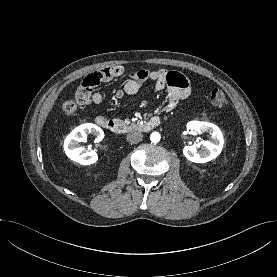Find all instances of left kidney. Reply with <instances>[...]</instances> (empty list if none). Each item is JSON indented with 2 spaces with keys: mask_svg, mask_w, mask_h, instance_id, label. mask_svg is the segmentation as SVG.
I'll list each match as a JSON object with an SVG mask.
<instances>
[{
  "mask_svg": "<svg viewBox=\"0 0 277 277\" xmlns=\"http://www.w3.org/2000/svg\"><path fill=\"white\" fill-rule=\"evenodd\" d=\"M187 128L196 133L209 134V140L199 143V145L203 146L201 151H197L196 145L185 146L183 148V154L189 161L206 163L215 159L221 153L224 140L218 126L208 122L191 121L187 124Z\"/></svg>",
  "mask_w": 277,
  "mask_h": 277,
  "instance_id": "1",
  "label": "left kidney"
}]
</instances>
